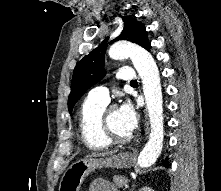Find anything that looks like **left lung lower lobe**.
Segmentation results:
<instances>
[{
	"label": "left lung lower lobe",
	"instance_id": "left-lung-lower-lobe-1",
	"mask_svg": "<svg viewBox=\"0 0 221 191\" xmlns=\"http://www.w3.org/2000/svg\"><path fill=\"white\" fill-rule=\"evenodd\" d=\"M150 48H151V45L148 46L147 50L149 51ZM162 163H163V166L168 167V161L167 160H163Z\"/></svg>",
	"mask_w": 221,
	"mask_h": 191
}]
</instances>
